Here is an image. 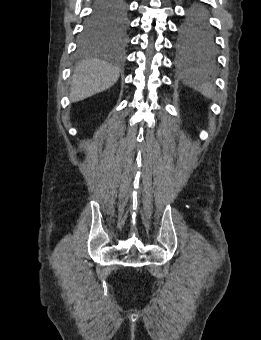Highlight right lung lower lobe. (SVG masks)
Listing matches in <instances>:
<instances>
[{
  "label": "right lung lower lobe",
  "mask_w": 261,
  "mask_h": 340,
  "mask_svg": "<svg viewBox=\"0 0 261 340\" xmlns=\"http://www.w3.org/2000/svg\"><path fill=\"white\" fill-rule=\"evenodd\" d=\"M127 10L126 0H95L93 13L99 15H117Z\"/></svg>",
  "instance_id": "right-lung-lower-lobe-1"
}]
</instances>
